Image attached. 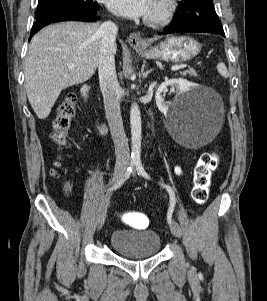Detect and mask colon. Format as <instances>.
<instances>
[{"instance_id": "obj_1", "label": "colon", "mask_w": 267, "mask_h": 301, "mask_svg": "<svg viewBox=\"0 0 267 301\" xmlns=\"http://www.w3.org/2000/svg\"><path fill=\"white\" fill-rule=\"evenodd\" d=\"M75 111L76 97L68 94L59 105L52 126L51 138L58 147L63 146L66 142ZM218 165L219 157L215 153H205L197 162L194 168L192 187V198L197 204H204L208 200L211 176ZM119 217L137 228H144L148 224L147 217L138 212H121Z\"/></svg>"}]
</instances>
